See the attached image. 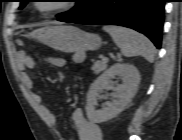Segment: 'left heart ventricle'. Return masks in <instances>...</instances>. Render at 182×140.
<instances>
[{
    "mask_svg": "<svg viewBox=\"0 0 182 140\" xmlns=\"http://www.w3.org/2000/svg\"><path fill=\"white\" fill-rule=\"evenodd\" d=\"M60 2H42L43 9L57 8L60 6Z\"/></svg>",
    "mask_w": 182,
    "mask_h": 140,
    "instance_id": "obj_1",
    "label": "left heart ventricle"
}]
</instances>
